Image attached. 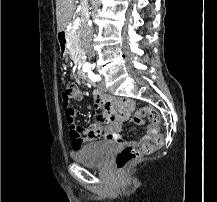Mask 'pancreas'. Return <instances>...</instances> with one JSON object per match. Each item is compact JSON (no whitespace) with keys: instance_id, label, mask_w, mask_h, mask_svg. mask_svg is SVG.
I'll return each mask as SVG.
<instances>
[{"instance_id":"cf45deb5","label":"pancreas","mask_w":217,"mask_h":202,"mask_svg":"<svg viewBox=\"0 0 217 202\" xmlns=\"http://www.w3.org/2000/svg\"><path fill=\"white\" fill-rule=\"evenodd\" d=\"M70 44V52L73 54V60H76V54L79 48V36H77V34H73V32L70 34Z\"/></svg>"}]
</instances>
